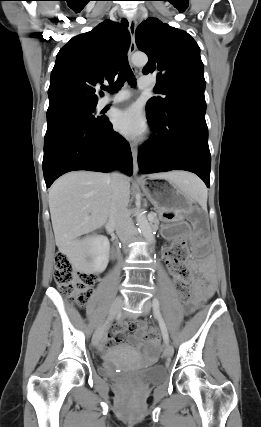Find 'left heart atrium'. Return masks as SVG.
<instances>
[{"mask_svg":"<svg viewBox=\"0 0 261 427\" xmlns=\"http://www.w3.org/2000/svg\"><path fill=\"white\" fill-rule=\"evenodd\" d=\"M115 129L131 140L142 139L147 133V123L136 105L118 111L113 119Z\"/></svg>","mask_w":261,"mask_h":427,"instance_id":"1","label":"left heart atrium"}]
</instances>
